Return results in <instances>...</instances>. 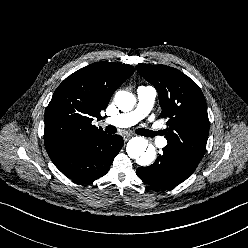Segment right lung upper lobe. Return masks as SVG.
<instances>
[{"mask_svg": "<svg viewBox=\"0 0 248 248\" xmlns=\"http://www.w3.org/2000/svg\"><path fill=\"white\" fill-rule=\"evenodd\" d=\"M134 72L131 65L90 64L67 77L55 90L45 112V147L49 154L105 133L92 125L114 91Z\"/></svg>", "mask_w": 248, "mask_h": 248, "instance_id": "obj_1", "label": "right lung upper lobe"}]
</instances>
